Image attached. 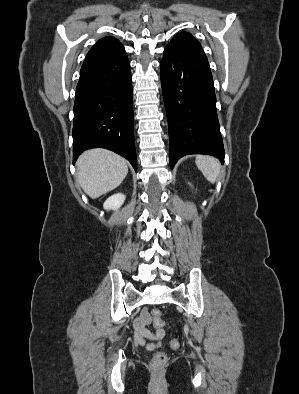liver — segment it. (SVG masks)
I'll list each match as a JSON object with an SVG mask.
<instances>
[{
  "label": "liver",
  "mask_w": 299,
  "mask_h": 394,
  "mask_svg": "<svg viewBox=\"0 0 299 394\" xmlns=\"http://www.w3.org/2000/svg\"><path fill=\"white\" fill-rule=\"evenodd\" d=\"M127 173V161L105 149L88 150L77 161L78 182L93 199L118 187Z\"/></svg>",
  "instance_id": "6515ba94"
}]
</instances>
